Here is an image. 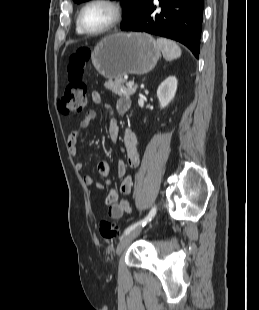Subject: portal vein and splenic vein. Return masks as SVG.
<instances>
[{
    "mask_svg": "<svg viewBox=\"0 0 259 310\" xmlns=\"http://www.w3.org/2000/svg\"><path fill=\"white\" fill-rule=\"evenodd\" d=\"M127 87H133L134 86V82L133 81H129L126 83Z\"/></svg>",
    "mask_w": 259,
    "mask_h": 310,
    "instance_id": "1",
    "label": "portal vein and splenic vein"
}]
</instances>
